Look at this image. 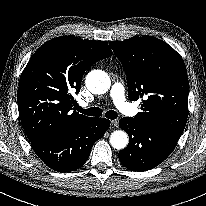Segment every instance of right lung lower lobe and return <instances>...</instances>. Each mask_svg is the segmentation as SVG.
<instances>
[{
	"label": "right lung lower lobe",
	"instance_id": "98d812e1",
	"mask_svg": "<svg viewBox=\"0 0 206 206\" xmlns=\"http://www.w3.org/2000/svg\"><path fill=\"white\" fill-rule=\"evenodd\" d=\"M109 126L110 121L105 118H90L68 133L31 142V147L53 170L71 172L87 161L93 144Z\"/></svg>",
	"mask_w": 206,
	"mask_h": 206
}]
</instances>
